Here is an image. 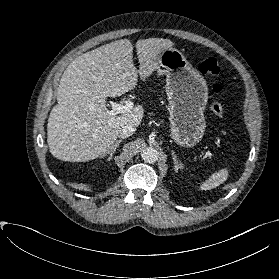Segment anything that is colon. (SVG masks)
Listing matches in <instances>:
<instances>
[{
  "instance_id": "5ec220e1",
  "label": "colon",
  "mask_w": 279,
  "mask_h": 279,
  "mask_svg": "<svg viewBox=\"0 0 279 279\" xmlns=\"http://www.w3.org/2000/svg\"><path fill=\"white\" fill-rule=\"evenodd\" d=\"M199 71L202 74L218 79L221 74V67L218 60L215 57L208 56L203 59L199 65ZM223 87L220 81H215L212 85V91L215 95L211 103V112L212 114L221 119L224 116V107L221 101L218 99V95L222 92Z\"/></svg>"
}]
</instances>
